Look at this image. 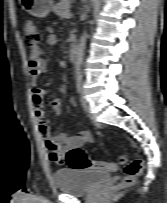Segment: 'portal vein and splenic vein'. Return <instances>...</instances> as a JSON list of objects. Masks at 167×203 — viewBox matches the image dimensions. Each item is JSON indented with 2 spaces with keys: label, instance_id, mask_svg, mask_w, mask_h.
<instances>
[{
  "label": "portal vein and splenic vein",
  "instance_id": "18ae733b",
  "mask_svg": "<svg viewBox=\"0 0 167 203\" xmlns=\"http://www.w3.org/2000/svg\"><path fill=\"white\" fill-rule=\"evenodd\" d=\"M72 15H71V13H69V12H67L66 14H65V17L66 18H70Z\"/></svg>",
  "mask_w": 167,
  "mask_h": 203
}]
</instances>
